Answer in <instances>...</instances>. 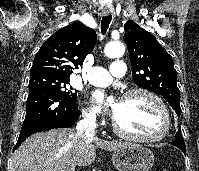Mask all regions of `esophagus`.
Instances as JSON below:
<instances>
[{"mask_svg": "<svg viewBox=\"0 0 199 171\" xmlns=\"http://www.w3.org/2000/svg\"><path fill=\"white\" fill-rule=\"evenodd\" d=\"M109 14H110L109 11H103V15L107 16V15H109Z\"/></svg>", "mask_w": 199, "mask_h": 171, "instance_id": "esophagus-1", "label": "esophagus"}]
</instances>
